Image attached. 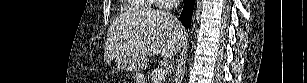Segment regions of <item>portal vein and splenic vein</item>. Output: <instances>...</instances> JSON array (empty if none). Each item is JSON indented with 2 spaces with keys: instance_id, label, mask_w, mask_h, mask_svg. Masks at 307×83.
I'll use <instances>...</instances> for the list:
<instances>
[{
  "instance_id": "1",
  "label": "portal vein and splenic vein",
  "mask_w": 307,
  "mask_h": 83,
  "mask_svg": "<svg viewBox=\"0 0 307 83\" xmlns=\"http://www.w3.org/2000/svg\"><path fill=\"white\" fill-rule=\"evenodd\" d=\"M165 75H166L165 70H159L154 79V83H159L162 79H164Z\"/></svg>"
}]
</instances>
